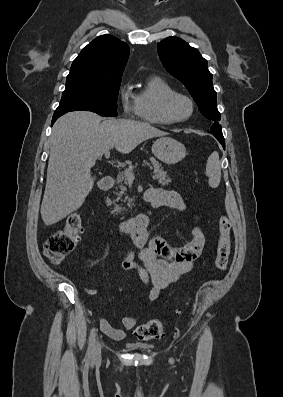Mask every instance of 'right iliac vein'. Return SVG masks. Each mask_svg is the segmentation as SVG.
Here are the masks:
<instances>
[{
    "label": "right iliac vein",
    "instance_id": "right-iliac-vein-1",
    "mask_svg": "<svg viewBox=\"0 0 283 397\" xmlns=\"http://www.w3.org/2000/svg\"><path fill=\"white\" fill-rule=\"evenodd\" d=\"M100 355H101V345H100V343H97L96 347H95V350H94L93 357L95 359H98L100 357Z\"/></svg>",
    "mask_w": 283,
    "mask_h": 397
}]
</instances>
